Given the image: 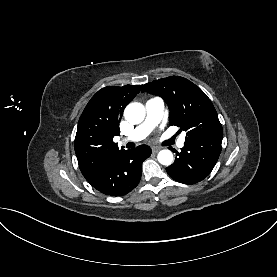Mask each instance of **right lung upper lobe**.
<instances>
[{
    "mask_svg": "<svg viewBox=\"0 0 277 277\" xmlns=\"http://www.w3.org/2000/svg\"><path fill=\"white\" fill-rule=\"evenodd\" d=\"M141 88L142 85L104 87L88 102L79 119L75 137V153L85 179L124 150L118 148L113 137L119 135L124 108Z\"/></svg>",
    "mask_w": 277,
    "mask_h": 277,
    "instance_id": "cb5924a9",
    "label": "right lung upper lobe"
}]
</instances>
